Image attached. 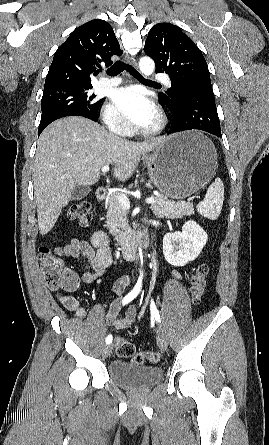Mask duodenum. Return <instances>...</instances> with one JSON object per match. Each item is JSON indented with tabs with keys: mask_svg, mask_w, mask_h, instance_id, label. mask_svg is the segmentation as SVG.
Here are the masks:
<instances>
[{
	"mask_svg": "<svg viewBox=\"0 0 269 445\" xmlns=\"http://www.w3.org/2000/svg\"><path fill=\"white\" fill-rule=\"evenodd\" d=\"M108 196V192L104 188H98L96 197L99 201H104ZM149 243L146 234H141L138 239L134 241H123L120 243L119 250L125 259H134L138 254L147 248Z\"/></svg>",
	"mask_w": 269,
	"mask_h": 445,
	"instance_id": "obj_1",
	"label": "duodenum"
}]
</instances>
